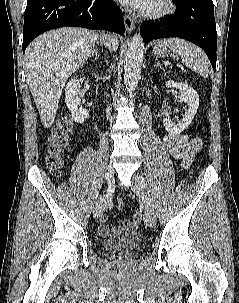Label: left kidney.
<instances>
[{
  "instance_id": "5707ae66",
  "label": "left kidney",
  "mask_w": 239,
  "mask_h": 303,
  "mask_svg": "<svg viewBox=\"0 0 239 303\" xmlns=\"http://www.w3.org/2000/svg\"><path fill=\"white\" fill-rule=\"evenodd\" d=\"M166 87H175L176 89H178V98L180 102H184L188 105L183 115V118L177 124L172 122L169 118L163 119V125L167 132H169L170 134H180L190 125L195 114L197 113L199 107V96L197 92L187 83L174 82L169 80L166 82Z\"/></svg>"
}]
</instances>
